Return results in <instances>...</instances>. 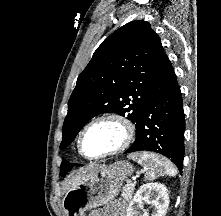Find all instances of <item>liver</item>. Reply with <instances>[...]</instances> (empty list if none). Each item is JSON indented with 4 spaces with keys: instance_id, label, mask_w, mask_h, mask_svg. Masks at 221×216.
Here are the masks:
<instances>
[{
    "instance_id": "liver-1",
    "label": "liver",
    "mask_w": 221,
    "mask_h": 216,
    "mask_svg": "<svg viewBox=\"0 0 221 216\" xmlns=\"http://www.w3.org/2000/svg\"><path fill=\"white\" fill-rule=\"evenodd\" d=\"M96 167L98 166L92 164L76 171L74 175L66 179V181L64 182L65 189H71L73 186L83 180L88 174H90Z\"/></svg>"
}]
</instances>
